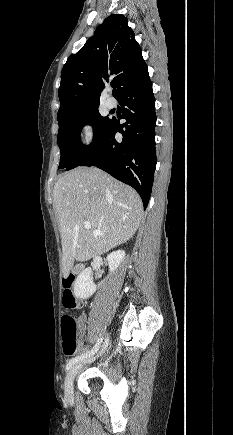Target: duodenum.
I'll return each instance as SVG.
<instances>
[{"label":"duodenum","instance_id":"obj_1","mask_svg":"<svg viewBox=\"0 0 233 435\" xmlns=\"http://www.w3.org/2000/svg\"><path fill=\"white\" fill-rule=\"evenodd\" d=\"M81 269H82V267H81V266H79V267L77 268V270H78V271H80Z\"/></svg>","mask_w":233,"mask_h":435}]
</instances>
